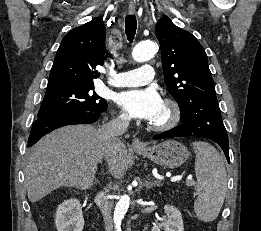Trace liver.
<instances>
[{"instance_id": "obj_1", "label": "liver", "mask_w": 261, "mask_h": 231, "mask_svg": "<svg viewBox=\"0 0 261 231\" xmlns=\"http://www.w3.org/2000/svg\"><path fill=\"white\" fill-rule=\"evenodd\" d=\"M105 156L100 130L92 125L66 126L37 142L27 157L24 175L31 202L62 186L91 188L98 163ZM108 162L115 178H122L129 166L125 144L121 143Z\"/></svg>"}]
</instances>
